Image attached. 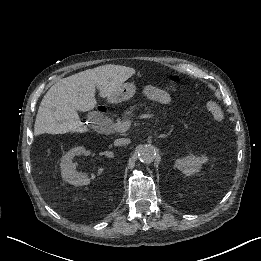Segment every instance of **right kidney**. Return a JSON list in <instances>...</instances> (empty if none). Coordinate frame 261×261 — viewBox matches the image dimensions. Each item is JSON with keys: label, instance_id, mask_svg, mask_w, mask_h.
Masks as SVG:
<instances>
[{"label": "right kidney", "instance_id": "obj_1", "mask_svg": "<svg viewBox=\"0 0 261 261\" xmlns=\"http://www.w3.org/2000/svg\"><path fill=\"white\" fill-rule=\"evenodd\" d=\"M84 152V147H77L70 150L61 159L60 167L62 178L64 181L74 186H83L90 183V179L85 174H78L74 171V165L72 163L74 156L83 154Z\"/></svg>", "mask_w": 261, "mask_h": 261}]
</instances>
